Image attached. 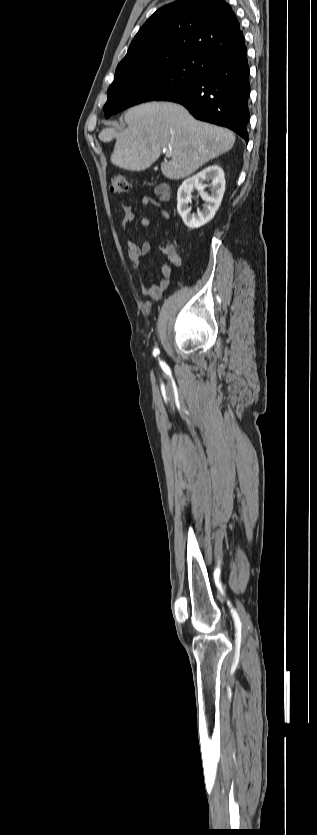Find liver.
Masks as SVG:
<instances>
[{
    "label": "liver",
    "instance_id": "liver-1",
    "mask_svg": "<svg viewBox=\"0 0 317 835\" xmlns=\"http://www.w3.org/2000/svg\"><path fill=\"white\" fill-rule=\"evenodd\" d=\"M128 127L123 132L104 128L99 139H116L111 163L131 171H142L155 162L163 149L171 160L161 163L168 179L187 177L209 160L230 150L233 132L196 120L183 106L171 102H148L127 111Z\"/></svg>",
    "mask_w": 317,
    "mask_h": 835
}]
</instances>
